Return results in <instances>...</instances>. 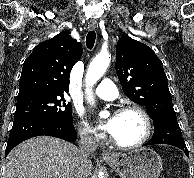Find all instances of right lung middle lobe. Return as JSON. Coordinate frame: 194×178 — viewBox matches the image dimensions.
<instances>
[{
    "label": "right lung middle lobe",
    "mask_w": 194,
    "mask_h": 178,
    "mask_svg": "<svg viewBox=\"0 0 194 178\" xmlns=\"http://www.w3.org/2000/svg\"><path fill=\"white\" fill-rule=\"evenodd\" d=\"M25 116H42L55 121H71L72 106L69 103L66 104L63 95L17 101L14 119Z\"/></svg>",
    "instance_id": "obj_1"
}]
</instances>
